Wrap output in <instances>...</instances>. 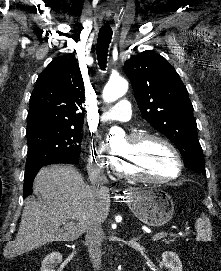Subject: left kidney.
Returning a JSON list of instances; mask_svg holds the SVG:
<instances>
[{
	"label": "left kidney",
	"mask_w": 221,
	"mask_h": 271,
	"mask_svg": "<svg viewBox=\"0 0 221 271\" xmlns=\"http://www.w3.org/2000/svg\"><path fill=\"white\" fill-rule=\"evenodd\" d=\"M162 267H166L168 271H183L181 259L175 251H163L162 261L159 267H155L154 271H161Z\"/></svg>",
	"instance_id": "left-kidney-1"
}]
</instances>
